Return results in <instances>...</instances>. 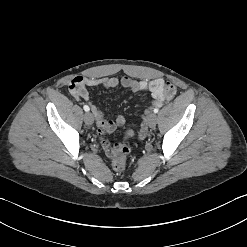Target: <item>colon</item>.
<instances>
[{
  "mask_svg": "<svg viewBox=\"0 0 247 247\" xmlns=\"http://www.w3.org/2000/svg\"><path fill=\"white\" fill-rule=\"evenodd\" d=\"M175 94V87L170 84L166 83L164 88V96L166 100H171ZM133 136V131L128 130L125 133V138L129 139ZM114 158L112 161V167L116 172H123L127 165V158L130 153V147L124 141L122 143H118L114 149Z\"/></svg>",
  "mask_w": 247,
  "mask_h": 247,
  "instance_id": "5ec220e1",
  "label": "colon"
}]
</instances>
